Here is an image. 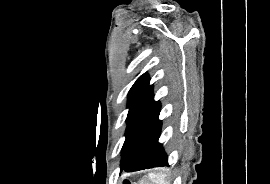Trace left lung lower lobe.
Instances as JSON below:
<instances>
[{
  "label": "left lung lower lobe",
  "instance_id": "0a47b994",
  "mask_svg": "<svg viewBox=\"0 0 270 184\" xmlns=\"http://www.w3.org/2000/svg\"><path fill=\"white\" fill-rule=\"evenodd\" d=\"M159 113L160 110L137 138L121 164L120 171L133 172L168 165V156L158 142L162 125L158 119Z\"/></svg>",
  "mask_w": 270,
  "mask_h": 184
}]
</instances>
